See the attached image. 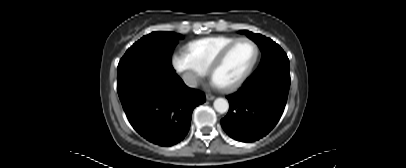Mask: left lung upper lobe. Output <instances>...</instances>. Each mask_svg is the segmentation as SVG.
Segmentation results:
<instances>
[{
	"instance_id": "obj_1",
	"label": "left lung upper lobe",
	"mask_w": 406,
	"mask_h": 168,
	"mask_svg": "<svg viewBox=\"0 0 406 168\" xmlns=\"http://www.w3.org/2000/svg\"><path fill=\"white\" fill-rule=\"evenodd\" d=\"M247 36L253 39L262 51L259 67L255 72L274 71L289 75V59L282 48L265 36L246 31Z\"/></svg>"
}]
</instances>
